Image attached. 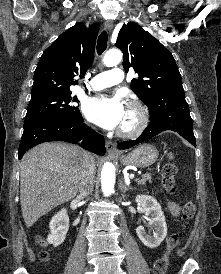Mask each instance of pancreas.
I'll return each mask as SVG.
<instances>
[{
	"label": "pancreas",
	"mask_w": 221,
	"mask_h": 274,
	"mask_svg": "<svg viewBox=\"0 0 221 274\" xmlns=\"http://www.w3.org/2000/svg\"><path fill=\"white\" fill-rule=\"evenodd\" d=\"M136 181H137L138 184H140V185H145L147 181H148L149 183H151V174H148V173H147V174H144V175H142L141 178L137 179Z\"/></svg>",
	"instance_id": "1"
}]
</instances>
